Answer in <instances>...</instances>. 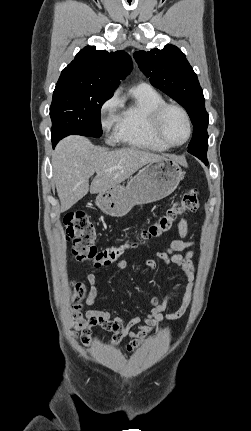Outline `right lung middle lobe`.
<instances>
[{
    "mask_svg": "<svg viewBox=\"0 0 251 431\" xmlns=\"http://www.w3.org/2000/svg\"><path fill=\"white\" fill-rule=\"evenodd\" d=\"M112 96V93L89 87L57 83L50 107L52 139L59 141L71 134L100 137V110Z\"/></svg>",
    "mask_w": 251,
    "mask_h": 431,
    "instance_id": "1",
    "label": "right lung middle lobe"
}]
</instances>
